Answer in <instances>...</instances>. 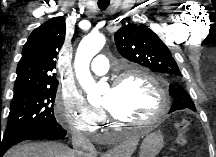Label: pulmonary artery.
<instances>
[{"label":"pulmonary artery","instance_id":"1","mask_svg":"<svg viewBox=\"0 0 216 157\" xmlns=\"http://www.w3.org/2000/svg\"><path fill=\"white\" fill-rule=\"evenodd\" d=\"M90 68L95 74H105L109 70V60L105 55L99 54L91 62Z\"/></svg>","mask_w":216,"mask_h":157}]
</instances>
